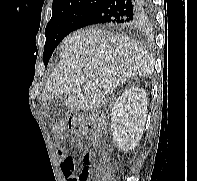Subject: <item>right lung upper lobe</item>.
<instances>
[{
    "mask_svg": "<svg viewBox=\"0 0 197 181\" xmlns=\"http://www.w3.org/2000/svg\"><path fill=\"white\" fill-rule=\"evenodd\" d=\"M104 0H54L52 4V12H58L70 8H74L83 4H96ZM139 28V27H138ZM128 30L137 29V27H128Z\"/></svg>",
    "mask_w": 197,
    "mask_h": 181,
    "instance_id": "1",
    "label": "right lung upper lobe"
}]
</instances>
